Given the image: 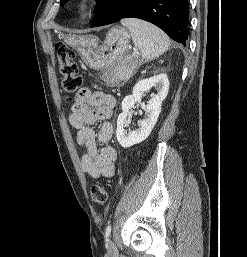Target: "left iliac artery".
Masks as SVG:
<instances>
[{"mask_svg": "<svg viewBox=\"0 0 247 257\" xmlns=\"http://www.w3.org/2000/svg\"><path fill=\"white\" fill-rule=\"evenodd\" d=\"M110 234H111V225H108L106 230H105V239H106V241H108Z\"/></svg>", "mask_w": 247, "mask_h": 257, "instance_id": "obj_1", "label": "left iliac artery"}]
</instances>
